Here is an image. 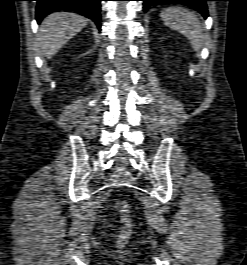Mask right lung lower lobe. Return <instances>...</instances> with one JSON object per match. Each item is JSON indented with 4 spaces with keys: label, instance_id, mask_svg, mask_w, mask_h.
Masks as SVG:
<instances>
[{
    "label": "right lung lower lobe",
    "instance_id": "1",
    "mask_svg": "<svg viewBox=\"0 0 247 265\" xmlns=\"http://www.w3.org/2000/svg\"><path fill=\"white\" fill-rule=\"evenodd\" d=\"M36 19L40 23L45 16L53 11L68 9L79 12L93 20L97 28L101 29L100 2L102 0H36Z\"/></svg>",
    "mask_w": 247,
    "mask_h": 265
}]
</instances>
